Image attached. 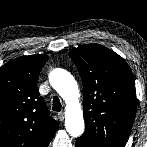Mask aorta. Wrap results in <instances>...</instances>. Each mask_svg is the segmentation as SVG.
<instances>
[{"instance_id": "762f6f07", "label": "aorta", "mask_w": 147, "mask_h": 147, "mask_svg": "<svg viewBox=\"0 0 147 147\" xmlns=\"http://www.w3.org/2000/svg\"><path fill=\"white\" fill-rule=\"evenodd\" d=\"M51 86L66 103L65 127L69 135L79 137L84 132L83 111L79 89L74 77L64 69H54L49 75Z\"/></svg>"}]
</instances>
